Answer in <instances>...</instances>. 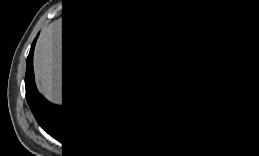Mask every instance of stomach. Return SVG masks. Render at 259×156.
<instances>
[{
  "label": "stomach",
  "mask_w": 259,
  "mask_h": 156,
  "mask_svg": "<svg viewBox=\"0 0 259 156\" xmlns=\"http://www.w3.org/2000/svg\"><path fill=\"white\" fill-rule=\"evenodd\" d=\"M172 71L174 72V73H180V70H178V69H176V68H172Z\"/></svg>",
  "instance_id": "obj_1"
}]
</instances>
